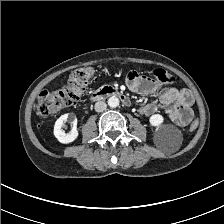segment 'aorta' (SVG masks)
Returning <instances> with one entry per match:
<instances>
[{
    "instance_id": "1",
    "label": "aorta",
    "mask_w": 224,
    "mask_h": 224,
    "mask_svg": "<svg viewBox=\"0 0 224 224\" xmlns=\"http://www.w3.org/2000/svg\"><path fill=\"white\" fill-rule=\"evenodd\" d=\"M108 105L111 108H116L119 106V99L115 96H112L108 99Z\"/></svg>"
}]
</instances>
